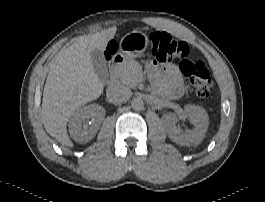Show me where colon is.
I'll return each mask as SVG.
<instances>
[{
  "instance_id": "1",
  "label": "colon",
  "mask_w": 265,
  "mask_h": 202,
  "mask_svg": "<svg viewBox=\"0 0 265 202\" xmlns=\"http://www.w3.org/2000/svg\"><path fill=\"white\" fill-rule=\"evenodd\" d=\"M152 55L158 63L180 58L179 69L188 79L190 85L201 98L210 96L212 81L210 74L202 61L191 60L189 46L185 41L178 40L165 31H155L149 37ZM116 51L115 45H110L107 55L111 57Z\"/></svg>"
}]
</instances>
